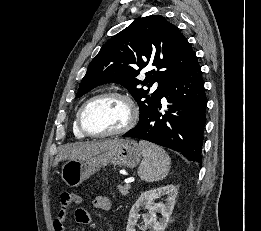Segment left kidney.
Listing matches in <instances>:
<instances>
[{
	"label": "left kidney",
	"mask_w": 261,
	"mask_h": 231,
	"mask_svg": "<svg viewBox=\"0 0 261 231\" xmlns=\"http://www.w3.org/2000/svg\"><path fill=\"white\" fill-rule=\"evenodd\" d=\"M177 193V188L174 185H167L142 193L129 212L126 231H136L135 225L141 216L139 214L140 207L148 209L147 213L142 214L145 223L144 229L164 231L172 214ZM164 195L167 196L166 203H155L157 198ZM157 213L162 215L159 221L157 220Z\"/></svg>",
	"instance_id": "1"
}]
</instances>
